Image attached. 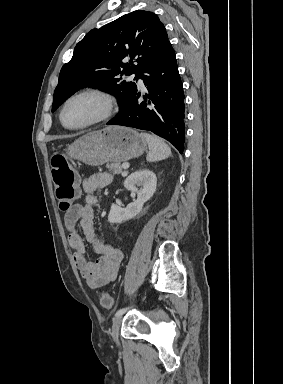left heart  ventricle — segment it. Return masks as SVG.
I'll return each instance as SVG.
<instances>
[{"label": "left heart ventricle", "mask_w": 283, "mask_h": 384, "mask_svg": "<svg viewBox=\"0 0 283 384\" xmlns=\"http://www.w3.org/2000/svg\"><path fill=\"white\" fill-rule=\"evenodd\" d=\"M100 111V103L90 96L72 100L64 111V123L69 127L82 125L93 119Z\"/></svg>", "instance_id": "left-heart-ventricle-1"}]
</instances>
